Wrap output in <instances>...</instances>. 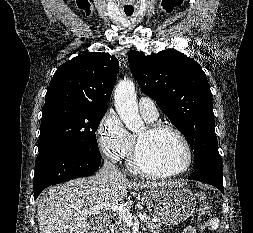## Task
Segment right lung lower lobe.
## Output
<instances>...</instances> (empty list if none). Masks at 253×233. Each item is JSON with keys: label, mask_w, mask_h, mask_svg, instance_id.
<instances>
[{"label": "right lung lower lobe", "mask_w": 253, "mask_h": 233, "mask_svg": "<svg viewBox=\"0 0 253 233\" xmlns=\"http://www.w3.org/2000/svg\"><path fill=\"white\" fill-rule=\"evenodd\" d=\"M100 163L101 157L68 149L50 148L38 153L34 174V199L52 184L92 175Z\"/></svg>", "instance_id": "right-lung-lower-lobe-1"}]
</instances>
